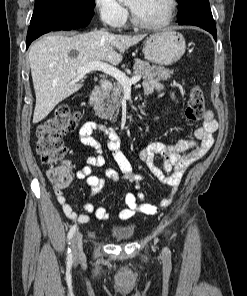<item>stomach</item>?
I'll return each instance as SVG.
<instances>
[{
	"mask_svg": "<svg viewBox=\"0 0 247 296\" xmlns=\"http://www.w3.org/2000/svg\"><path fill=\"white\" fill-rule=\"evenodd\" d=\"M185 49L183 35L173 29H166L146 38L143 54L146 60L157 65H171L181 59Z\"/></svg>",
	"mask_w": 247,
	"mask_h": 296,
	"instance_id": "stomach-1",
	"label": "stomach"
}]
</instances>
